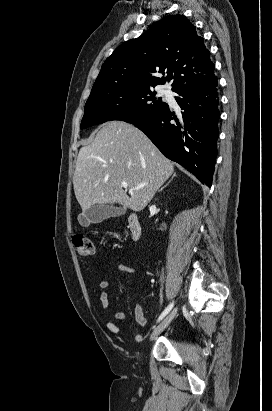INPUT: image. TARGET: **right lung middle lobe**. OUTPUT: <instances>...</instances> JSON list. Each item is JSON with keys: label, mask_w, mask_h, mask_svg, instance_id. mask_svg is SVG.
Here are the masks:
<instances>
[{"label": "right lung middle lobe", "mask_w": 272, "mask_h": 411, "mask_svg": "<svg viewBox=\"0 0 272 411\" xmlns=\"http://www.w3.org/2000/svg\"><path fill=\"white\" fill-rule=\"evenodd\" d=\"M167 104L156 98L151 87L117 86L91 92L81 121V129L111 120L128 123L147 119Z\"/></svg>", "instance_id": "right-lung-middle-lobe-1"}]
</instances>
